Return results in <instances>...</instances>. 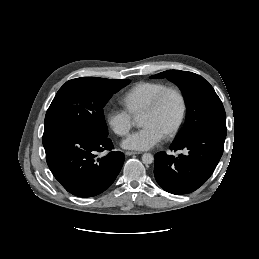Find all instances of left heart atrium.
Returning a JSON list of instances; mask_svg holds the SVG:
<instances>
[{"mask_svg":"<svg viewBox=\"0 0 259 259\" xmlns=\"http://www.w3.org/2000/svg\"><path fill=\"white\" fill-rule=\"evenodd\" d=\"M163 137L164 134L159 129L147 125L128 136L122 146L130 150L145 151L160 143Z\"/></svg>","mask_w":259,"mask_h":259,"instance_id":"obj_1","label":"left heart atrium"}]
</instances>
